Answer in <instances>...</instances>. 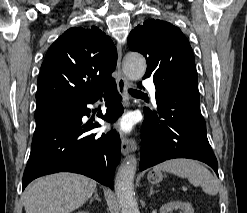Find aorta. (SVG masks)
<instances>
[{
	"instance_id": "762f6f07",
	"label": "aorta",
	"mask_w": 247,
	"mask_h": 213,
	"mask_svg": "<svg viewBox=\"0 0 247 213\" xmlns=\"http://www.w3.org/2000/svg\"><path fill=\"white\" fill-rule=\"evenodd\" d=\"M146 61L137 52H129L124 58L123 72L131 80L141 79L146 72ZM137 160L130 157L117 171L115 178V194L117 196L121 213H140L134 199V176Z\"/></svg>"
}]
</instances>
